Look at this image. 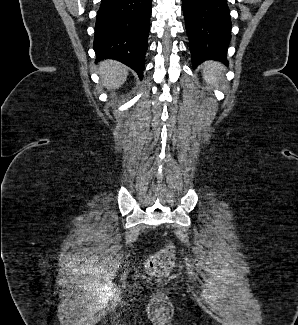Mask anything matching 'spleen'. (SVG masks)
Here are the masks:
<instances>
[{"instance_id": "spleen-1", "label": "spleen", "mask_w": 298, "mask_h": 325, "mask_svg": "<svg viewBox=\"0 0 298 325\" xmlns=\"http://www.w3.org/2000/svg\"><path fill=\"white\" fill-rule=\"evenodd\" d=\"M224 70V66L214 60H207L204 62L202 78H204L207 84H218L221 74Z\"/></svg>"}]
</instances>
